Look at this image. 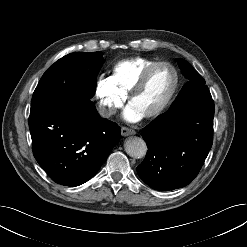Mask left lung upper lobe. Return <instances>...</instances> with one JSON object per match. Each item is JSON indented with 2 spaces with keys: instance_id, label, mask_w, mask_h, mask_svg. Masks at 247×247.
<instances>
[{
  "instance_id": "5c2ea615",
  "label": "left lung upper lobe",
  "mask_w": 247,
  "mask_h": 247,
  "mask_svg": "<svg viewBox=\"0 0 247 247\" xmlns=\"http://www.w3.org/2000/svg\"><path fill=\"white\" fill-rule=\"evenodd\" d=\"M179 67L182 70L183 75L189 80L182 88L175 101L171 106H174L192 93H194L199 88L205 86V80L200 76V74L184 59H177Z\"/></svg>"
}]
</instances>
